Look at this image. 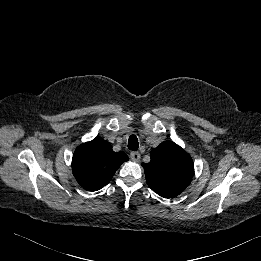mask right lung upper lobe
<instances>
[{
	"label": "right lung upper lobe",
	"instance_id": "obj_1",
	"mask_svg": "<svg viewBox=\"0 0 261 261\" xmlns=\"http://www.w3.org/2000/svg\"><path fill=\"white\" fill-rule=\"evenodd\" d=\"M128 161L124 152H114L109 142L96 137L76 148L73 175L87 191H97L109 183L120 165Z\"/></svg>",
	"mask_w": 261,
	"mask_h": 261
}]
</instances>
